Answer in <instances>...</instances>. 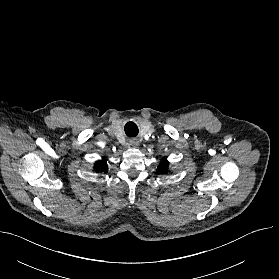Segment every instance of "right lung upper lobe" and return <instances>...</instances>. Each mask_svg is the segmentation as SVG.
<instances>
[{
  "label": "right lung upper lobe",
  "mask_w": 279,
  "mask_h": 279,
  "mask_svg": "<svg viewBox=\"0 0 279 279\" xmlns=\"http://www.w3.org/2000/svg\"><path fill=\"white\" fill-rule=\"evenodd\" d=\"M95 171L97 172H107L108 167L105 161H97L94 166Z\"/></svg>",
  "instance_id": "1"
}]
</instances>
